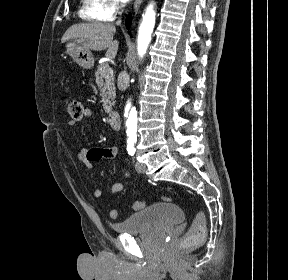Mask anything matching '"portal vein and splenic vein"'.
<instances>
[{
    "label": "portal vein and splenic vein",
    "instance_id": "1",
    "mask_svg": "<svg viewBox=\"0 0 288 280\" xmlns=\"http://www.w3.org/2000/svg\"><path fill=\"white\" fill-rule=\"evenodd\" d=\"M113 76V70L110 68L107 72V77Z\"/></svg>",
    "mask_w": 288,
    "mask_h": 280
}]
</instances>
